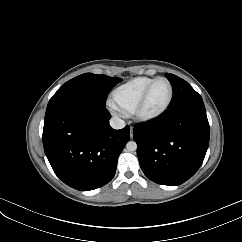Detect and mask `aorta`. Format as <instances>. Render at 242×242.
I'll return each instance as SVG.
<instances>
[{"mask_svg": "<svg viewBox=\"0 0 242 242\" xmlns=\"http://www.w3.org/2000/svg\"><path fill=\"white\" fill-rule=\"evenodd\" d=\"M126 148L128 151L132 152V151H135L137 149V144L135 141H129L127 144H126Z\"/></svg>", "mask_w": 242, "mask_h": 242, "instance_id": "762f6f07", "label": "aorta"}]
</instances>
